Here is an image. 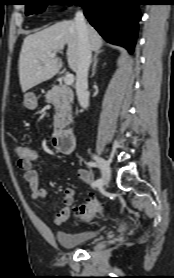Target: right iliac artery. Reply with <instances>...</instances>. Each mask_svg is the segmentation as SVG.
Masks as SVG:
<instances>
[{"label": "right iliac artery", "mask_w": 174, "mask_h": 278, "mask_svg": "<svg viewBox=\"0 0 174 278\" xmlns=\"http://www.w3.org/2000/svg\"><path fill=\"white\" fill-rule=\"evenodd\" d=\"M87 166L89 167H97V164L94 162H88ZM103 184V179H97L96 181H94V183L92 184L93 187H100Z\"/></svg>", "instance_id": "82829eb1"}]
</instances>
